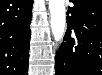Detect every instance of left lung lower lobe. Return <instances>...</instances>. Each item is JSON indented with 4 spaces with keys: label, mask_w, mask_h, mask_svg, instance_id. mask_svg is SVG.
<instances>
[{
    "label": "left lung lower lobe",
    "mask_w": 102,
    "mask_h": 75,
    "mask_svg": "<svg viewBox=\"0 0 102 75\" xmlns=\"http://www.w3.org/2000/svg\"><path fill=\"white\" fill-rule=\"evenodd\" d=\"M55 75H102V0H70Z\"/></svg>",
    "instance_id": "1"
}]
</instances>
